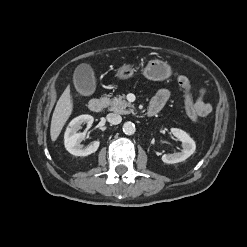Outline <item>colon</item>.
Here are the masks:
<instances>
[{"mask_svg":"<svg viewBox=\"0 0 247 247\" xmlns=\"http://www.w3.org/2000/svg\"><path fill=\"white\" fill-rule=\"evenodd\" d=\"M179 88L184 92L185 106L189 118L192 121H197L200 116V111L197 109L196 105L193 103L190 94V82L185 75H178L177 78Z\"/></svg>","mask_w":247,"mask_h":247,"instance_id":"5ec220e1","label":"colon"}]
</instances>
